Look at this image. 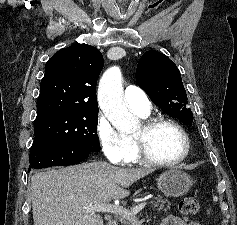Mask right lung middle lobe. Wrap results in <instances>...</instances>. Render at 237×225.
<instances>
[{"label":"right lung middle lobe","mask_w":237,"mask_h":225,"mask_svg":"<svg viewBox=\"0 0 237 225\" xmlns=\"http://www.w3.org/2000/svg\"><path fill=\"white\" fill-rule=\"evenodd\" d=\"M98 112L70 113L36 120L35 139H47L72 145L89 152H99Z\"/></svg>","instance_id":"1"}]
</instances>
